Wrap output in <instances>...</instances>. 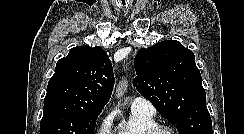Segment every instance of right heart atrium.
Instances as JSON below:
<instances>
[{
    "label": "right heart atrium",
    "instance_id": "d8ad5b80",
    "mask_svg": "<svg viewBox=\"0 0 244 134\" xmlns=\"http://www.w3.org/2000/svg\"><path fill=\"white\" fill-rule=\"evenodd\" d=\"M112 122L113 115H106L99 123L96 134H111Z\"/></svg>",
    "mask_w": 244,
    "mask_h": 134
}]
</instances>
